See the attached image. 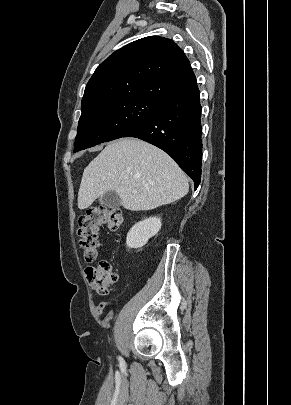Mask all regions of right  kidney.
<instances>
[{
	"mask_svg": "<svg viewBox=\"0 0 291 405\" xmlns=\"http://www.w3.org/2000/svg\"><path fill=\"white\" fill-rule=\"evenodd\" d=\"M161 219L150 217L136 223L128 232L126 244L129 248H141L161 229Z\"/></svg>",
	"mask_w": 291,
	"mask_h": 405,
	"instance_id": "obj_1",
	"label": "right kidney"
}]
</instances>
